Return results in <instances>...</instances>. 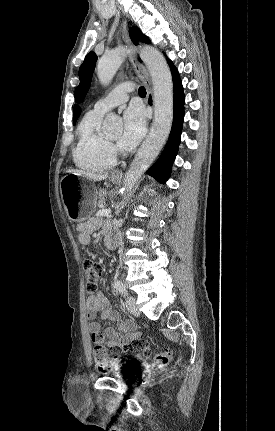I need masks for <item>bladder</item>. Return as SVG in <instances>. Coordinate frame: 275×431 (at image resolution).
<instances>
[{
    "instance_id": "bladder-1",
    "label": "bladder",
    "mask_w": 275,
    "mask_h": 431,
    "mask_svg": "<svg viewBox=\"0 0 275 431\" xmlns=\"http://www.w3.org/2000/svg\"><path fill=\"white\" fill-rule=\"evenodd\" d=\"M111 374L119 379H125L126 377L123 371L112 372Z\"/></svg>"
}]
</instances>
